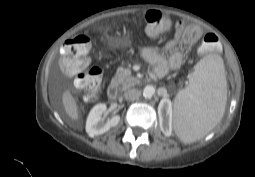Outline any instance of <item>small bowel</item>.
<instances>
[{"mask_svg":"<svg viewBox=\"0 0 255 177\" xmlns=\"http://www.w3.org/2000/svg\"><path fill=\"white\" fill-rule=\"evenodd\" d=\"M202 36V31L197 26L183 27L177 26L175 33L170 38L162 49L149 46L141 50L142 57L154 65L157 76H164L168 69L178 70L181 68L184 61V54L178 50L180 44H193ZM163 51L171 52L169 58H165Z\"/></svg>","mask_w":255,"mask_h":177,"instance_id":"1","label":"small bowel"}]
</instances>
